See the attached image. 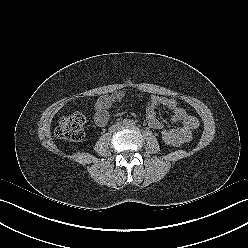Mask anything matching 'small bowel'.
I'll return each mask as SVG.
<instances>
[{"label":"small bowel","instance_id":"c3829d8e","mask_svg":"<svg viewBox=\"0 0 248 248\" xmlns=\"http://www.w3.org/2000/svg\"><path fill=\"white\" fill-rule=\"evenodd\" d=\"M124 96L125 93L119 90L102 95L96 100L94 104V122L97 126L103 127L108 123V109L115 103L120 102ZM158 106L166 107L172 112L171 120L173 123L182 122L181 127L169 129L177 134L180 144L189 141L192 138L193 131L199 126L198 119L180 107L176 100L153 95L147 104L146 120L148 125L155 130H161L163 128V123L158 119L156 113Z\"/></svg>","mask_w":248,"mask_h":248}]
</instances>
